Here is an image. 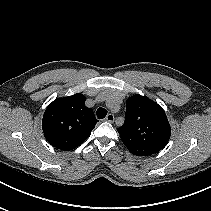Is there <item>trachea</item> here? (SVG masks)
Here are the masks:
<instances>
[{
  "instance_id": "trachea-1",
  "label": "trachea",
  "mask_w": 211,
  "mask_h": 211,
  "mask_svg": "<svg viewBox=\"0 0 211 211\" xmlns=\"http://www.w3.org/2000/svg\"><path fill=\"white\" fill-rule=\"evenodd\" d=\"M96 114L98 119H103L107 115V110L104 108H98Z\"/></svg>"
}]
</instances>
